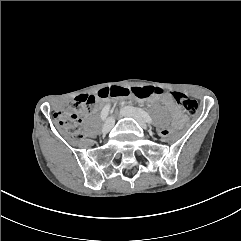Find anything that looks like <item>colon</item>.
I'll use <instances>...</instances> for the list:
<instances>
[{"label":"colon","mask_w":241,"mask_h":241,"mask_svg":"<svg viewBox=\"0 0 241 241\" xmlns=\"http://www.w3.org/2000/svg\"><path fill=\"white\" fill-rule=\"evenodd\" d=\"M162 89L151 86H112L100 90L96 95L82 94L74 99V101L66 108L55 113V121L66 132L75 138L81 136L80 124L81 116L85 114L97 101V99H104L108 97H126L134 96L139 99H144L152 94H161ZM170 95L178 105V107L187 114L194 116L198 112L197 102L186 96L183 93L171 92ZM175 129L173 127H159L155 130L157 137L166 138L173 136Z\"/></svg>","instance_id":"5ec220e1"}]
</instances>
